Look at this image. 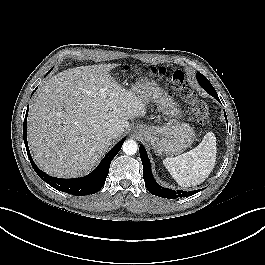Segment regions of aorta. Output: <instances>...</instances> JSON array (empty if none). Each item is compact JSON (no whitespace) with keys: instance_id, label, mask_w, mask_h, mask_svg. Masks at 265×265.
Segmentation results:
<instances>
[{"instance_id":"762f6f07","label":"aorta","mask_w":265,"mask_h":265,"mask_svg":"<svg viewBox=\"0 0 265 265\" xmlns=\"http://www.w3.org/2000/svg\"><path fill=\"white\" fill-rule=\"evenodd\" d=\"M122 150L126 155H134L138 150V144L134 140H127L124 142Z\"/></svg>"}]
</instances>
